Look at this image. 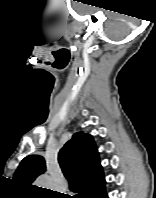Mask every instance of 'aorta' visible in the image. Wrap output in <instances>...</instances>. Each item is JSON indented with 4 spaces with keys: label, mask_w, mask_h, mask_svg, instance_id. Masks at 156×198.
<instances>
[{
    "label": "aorta",
    "mask_w": 156,
    "mask_h": 198,
    "mask_svg": "<svg viewBox=\"0 0 156 198\" xmlns=\"http://www.w3.org/2000/svg\"><path fill=\"white\" fill-rule=\"evenodd\" d=\"M37 184L42 188H49L51 186V180L48 176L44 175L37 180Z\"/></svg>",
    "instance_id": "1"
}]
</instances>
